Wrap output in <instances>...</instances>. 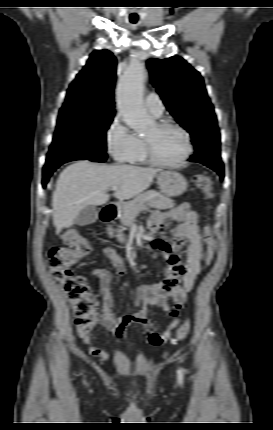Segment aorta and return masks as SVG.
Here are the masks:
<instances>
[{
  "label": "aorta",
  "mask_w": 273,
  "mask_h": 430,
  "mask_svg": "<svg viewBox=\"0 0 273 430\" xmlns=\"http://www.w3.org/2000/svg\"><path fill=\"white\" fill-rule=\"evenodd\" d=\"M145 66L135 61L120 79L116 99L117 107L126 124L137 133L148 131L154 124L143 103Z\"/></svg>",
  "instance_id": "762f6f07"
}]
</instances>
